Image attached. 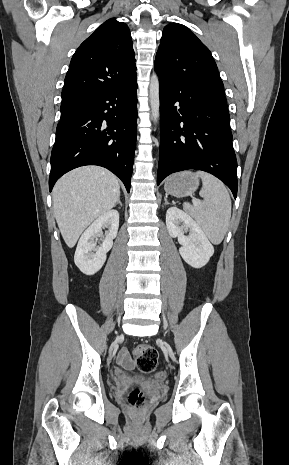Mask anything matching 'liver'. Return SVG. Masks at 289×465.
Masks as SVG:
<instances>
[{"label":"liver","instance_id":"6515ba94","mask_svg":"<svg viewBox=\"0 0 289 465\" xmlns=\"http://www.w3.org/2000/svg\"><path fill=\"white\" fill-rule=\"evenodd\" d=\"M119 196L117 177L102 167H80L61 177L52 197L55 218L67 246L74 247L85 228L112 209Z\"/></svg>","mask_w":289,"mask_h":465}]
</instances>
